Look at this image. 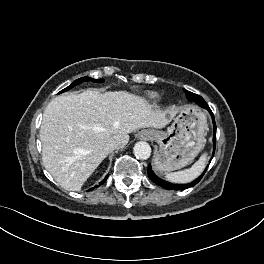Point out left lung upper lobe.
Returning a JSON list of instances; mask_svg holds the SVG:
<instances>
[{
    "label": "left lung upper lobe",
    "mask_w": 264,
    "mask_h": 264,
    "mask_svg": "<svg viewBox=\"0 0 264 264\" xmlns=\"http://www.w3.org/2000/svg\"><path fill=\"white\" fill-rule=\"evenodd\" d=\"M185 91V94H186V97H187V99L189 100V101H194V102H198V101H196V99H198L200 96L199 95H196V94H194V93H192V92H189V91H187V90H184ZM201 98V97H200ZM203 99V98H202ZM203 102L204 103H206L205 101H204V99H203Z\"/></svg>",
    "instance_id": "obj_1"
}]
</instances>
